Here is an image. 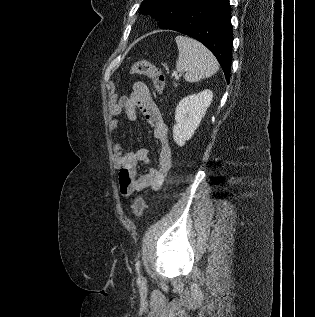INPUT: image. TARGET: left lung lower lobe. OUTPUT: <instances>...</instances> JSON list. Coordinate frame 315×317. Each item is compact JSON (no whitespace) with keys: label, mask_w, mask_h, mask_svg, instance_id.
Masks as SVG:
<instances>
[{"label":"left lung lower lobe","mask_w":315,"mask_h":317,"mask_svg":"<svg viewBox=\"0 0 315 317\" xmlns=\"http://www.w3.org/2000/svg\"><path fill=\"white\" fill-rule=\"evenodd\" d=\"M168 29L204 44L219 61L229 83L233 46L229 0H198Z\"/></svg>","instance_id":"0a47b994"}]
</instances>
